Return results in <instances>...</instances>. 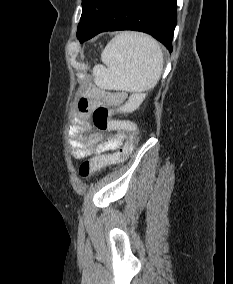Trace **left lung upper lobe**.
<instances>
[{
  "mask_svg": "<svg viewBox=\"0 0 233 284\" xmlns=\"http://www.w3.org/2000/svg\"><path fill=\"white\" fill-rule=\"evenodd\" d=\"M106 0H82V16L78 24L77 37L81 39L90 29L98 9Z\"/></svg>",
  "mask_w": 233,
  "mask_h": 284,
  "instance_id": "5c2ea615",
  "label": "left lung upper lobe"
}]
</instances>
